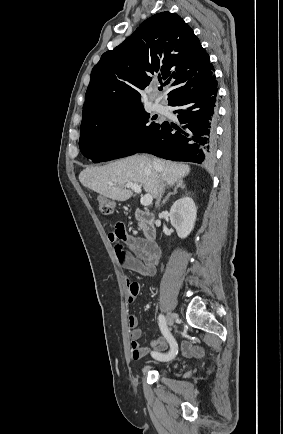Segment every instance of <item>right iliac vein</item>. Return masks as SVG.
<instances>
[{"mask_svg":"<svg viewBox=\"0 0 283 434\" xmlns=\"http://www.w3.org/2000/svg\"><path fill=\"white\" fill-rule=\"evenodd\" d=\"M176 319V315L174 313L169 312L167 314V324L172 327L174 324V321Z\"/></svg>","mask_w":283,"mask_h":434,"instance_id":"63e3f726","label":"right iliac vein"}]
</instances>
